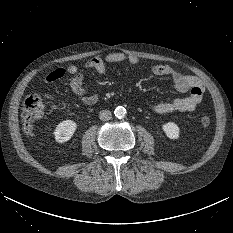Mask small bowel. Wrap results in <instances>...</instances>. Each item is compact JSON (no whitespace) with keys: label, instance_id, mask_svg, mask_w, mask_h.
<instances>
[{"label":"small bowel","instance_id":"1","mask_svg":"<svg viewBox=\"0 0 233 233\" xmlns=\"http://www.w3.org/2000/svg\"><path fill=\"white\" fill-rule=\"evenodd\" d=\"M128 62L131 65H137L139 58L135 55H125L114 52L104 57H93L85 65L86 69L95 70L97 73L104 75L107 72L108 65ZM151 72L160 77H170L176 90L188 93L186 97L174 98L166 102L154 103L149 100L145 101V106L152 112L158 114L164 113H187L196 110L202 101L205 91V85L201 79L195 76L183 74L169 65H154ZM72 76L70 81L71 91L85 105H94L98 102L97 94H89L83 83V70L74 65L65 69L58 68L49 72L45 78L46 83H52L60 79L64 74Z\"/></svg>","mask_w":233,"mask_h":233}]
</instances>
